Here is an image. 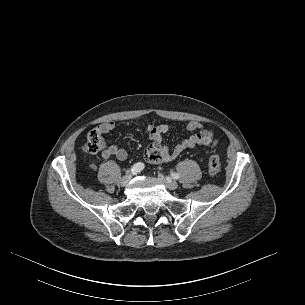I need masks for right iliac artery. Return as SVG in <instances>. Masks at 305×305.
<instances>
[{"label":"right iliac artery","instance_id":"obj_1","mask_svg":"<svg viewBox=\"0 0 305 305\" xmlns=\"http://www.w3.org/2000/svg\"><path fill=\"white\" fill-rule=\"evenodd\" d=\"M144 169V164L141 163V162H138L136 164H134L132 167H131V172L133 174H137L139 173L140 171H142Z\"/></svg>","mask_w":305,"mask_h":305}]
</instances>
